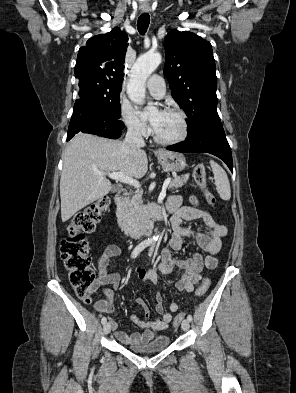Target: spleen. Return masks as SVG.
I'll list each match as a JSON object with an SVG mask.
<instances>
[{
  "label": "spleen",
  "instance_id": "1",
  "mask_svg": "<svg viewBox=\"0 0 296 393\" xmlns=\"http://www.w3.org/2000/svg\"><path fill=\"white\" fill-rule=\"evenodd\" d=\"M210 165L214 174L216 190L219 196L223 200H229L231 197V190L226 172L213 160H210Z\"/></svg>",
  "mask_w": 296,
  "mask_h": 393
}]
</instances>
